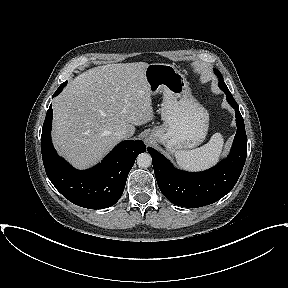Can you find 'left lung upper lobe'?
<instances>
[{
    "label": "left lung upper lobe",
    "instance_id": "obj_1",
    "mask_svg": "<svg viewBox=\"0 0 288 288\" xmlns=\"http://www.w3.org/2000/svg\"><path fill=\"white\" fill-rule=\"evenodd\" d=\"M215 73H216V74L218 75V77H219V83H218L219 87H220L223 91H229L228 87L226 86V84H225L224 81H223V77H222L221 73H220L217 69H215Z\"/></svg>",
    "mask_w": 288,
    "mask_h": 288
}]
</instances>
